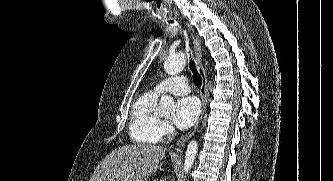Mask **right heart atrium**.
<instances>
[{"mask_svg":"<svg viewBox=\"0 0 333 181\" xmlns=\"http://www.w3.org/2000/svg\"><path fill=\"white\" fill-rule=\"evenodd\" d=\"M159 132L162 137L171 135L173 133L172 125L166 120H161Z\"/></svg>","mask_w":333,"mask_h":181,"instance_id":"obj_1","label":"right heart atrium"}]
</instances>
